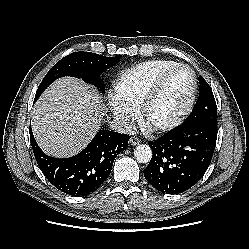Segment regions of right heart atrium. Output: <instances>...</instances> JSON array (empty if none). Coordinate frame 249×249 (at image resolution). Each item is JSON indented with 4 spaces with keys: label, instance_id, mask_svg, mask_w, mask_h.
Masks as SVG:
<instances>
[{
    "label": "right heart atrium",
    "instance_id": "obj_1",
    "mask_svg": "<svg viewBox=\"0 0 249 249\" xmlns=\"http://www.w3.org/2000/svg\"><path fill=\"white\" fill-rule=\"evenodd\" d=\"M108 106L116 123L122 129L129 130L132 128L137 118V112L134 109L122 103L115 96L110 97Z\"/></svg>",
    "mask_w": 249,
    "mask_h": 249
}]
</instances>
